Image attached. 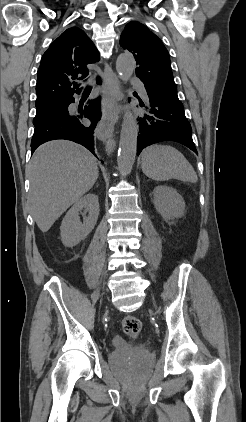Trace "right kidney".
Instances as JSON below:
<instances>
[{
  "label": "right kidney",
  "mask_w": 246,
  "mask_h": 422,
  "mask_svg": "<svg viewBox=\"0 0 246 422\" xmlns=\"http://www.w3.org/2000/svg\"><path fill=\"white\" fill-rule=\"evenodd\" d=\"M83 209L87 210L89 214L82 223L79 212ZM99 211L98 196L95 194L89 193L75 202L66 213L60 226L62 243L65 246L73 247L84 240L94 229Z\"/></svg>",
  "instance_id": "1"
}]
</instances>
